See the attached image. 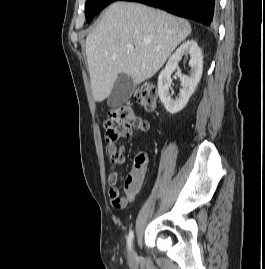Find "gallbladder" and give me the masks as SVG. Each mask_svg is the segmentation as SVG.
I'll return each instance as SVG.
<instances>
[{
	"label": "gallbladder",
	"mask_w": 265,
	"mask_h": 269,
	"mask_svg": "<svg viewBox=\"0 0 265 269\" xmlns=\"http://www.w3.org/2000/svg\"><path fill=\"white\" fill-rule=\"evenodd\" d=\"M135 87V83L130 76L119 75L108 97L107 105L111 108L121 106L131 97Z\"/></svg>",
	"instance_id": "bac80fb5"
}]
</instances>
